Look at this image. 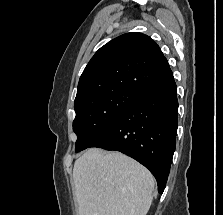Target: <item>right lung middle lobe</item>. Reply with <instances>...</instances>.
<instances>
[{
	"label": "right lung middle lobe",
	"mask_w": 223,
	"mask_h": 215,
	"mask_svg": "<svg viewBox=\"0 0 223 215\" xmlns=\"http://www.w3.org/2000/svg\"><path fill=\"white\" fill-rule=\"evenodd\" d=\"M139 96L129 90H115L76 106L73 130L78 138L75 152L91 147Z\"/></svg>",
	"instance_id": "1"
}]
</instances>
